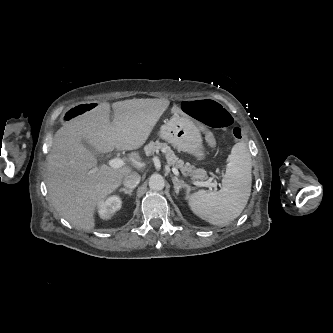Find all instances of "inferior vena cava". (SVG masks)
Wrapping results in <instances>:
<instances>
[{"instance_id":"obj_1","label":"inferior vena cava","mask_w":333,"mask_h":333,"mask_svg":"<svg viewBox=\"0 0 333 333\" xmlns=\"http://www.w3.org/2000/svg\"><path fill=\"white\" fill-rule=\"evenodd\" d=\"M140 175L137 172H130L123 178V184L128 189H134L140 183Z\"/></svg>"}]
</instances>
